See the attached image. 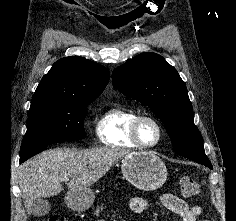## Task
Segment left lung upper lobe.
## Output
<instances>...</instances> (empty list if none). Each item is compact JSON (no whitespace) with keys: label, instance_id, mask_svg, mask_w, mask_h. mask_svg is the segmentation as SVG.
<instances>
[{"label":"left lung upper lobe","instance_id":"5c2ea615","mask_svg":"<svg viewBox=\"0 0 236 221\" xmlns=\"http://www.w3.org/2000/svg\"><path fill=\"white\" fill-rule=\"evenodd\" d=\"M112 79L120 92L149 106L162 120L178 155L213 168L194 124L186 85L162 56L141 53L116 68Z\"/></svg>","mask_w":236,"mask_h":221}]
</instances>
